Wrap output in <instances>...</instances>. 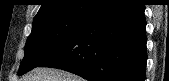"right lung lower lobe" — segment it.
Here are the masks:
<instances>
[{"instance_id": "1", "label": "right lung lower lobe", "mask_w": 169, "mask_h": 81, "mask_svg": "<svg viewBox=\"0 0 169 81\" xmlns=\"http://www.w3.org/2000/svg\"><path fill=\"white\" fill-rule=\"evenodd\" d=\"M145 5L122 0L88 19L38 67H53L89 81H144Z\"/></svg>"}]
</instances>
